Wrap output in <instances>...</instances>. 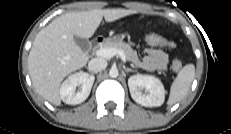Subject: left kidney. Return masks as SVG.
<instances>
[{
	"label": "left kidney",
	"instance_id": "1",
	"mask_svg": "<svg viewBox=\"0 0 231 134\" xmlns=\"http://www.w3.org/2000/svg\"><path fill=\"white\" fill-rule=\"evenodd\" d=\"M128 86L133 100L146 107L161 106L165 100L162 82L152 75H133L128 79Z\"/></svg>",
	"mask_w": 231,
	"mask_h": 134
}]
</instances>
